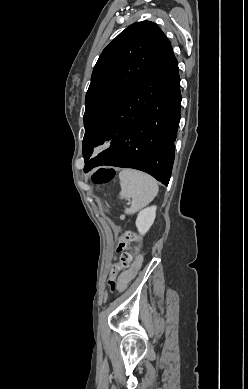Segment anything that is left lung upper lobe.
<instances>
[{
    "mask_svg": "<svg viewBox=\"0 0 248 389\" xmlns=\"http://www.w3.org/2000/svg\"><path fill=\"white\" fill-rule=\"evenodd\" d=\"M170 41L153 22H136L121 32L100 55L85 98V135L82 152L90 160L93 149L103 143L101 125L112 108L134 87Z\"/></svg>",
    "mask_w": 248,
    "mask_h": 389,
    "instance_id": "obj_1",
    "label": "left lung upper lobe"
}]
</instances>
